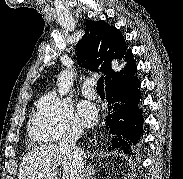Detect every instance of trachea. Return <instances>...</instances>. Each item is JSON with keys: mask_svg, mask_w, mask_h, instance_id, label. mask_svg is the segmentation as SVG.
I'll return each instance as SVG.
<instances>
[{"mask_svg": "<svg viewBox=\"0 0 183 179\" xmlns=\"http://www.w3.org/2000/svg\"><path fill=\"white\" fill-rule=\"evenodd\" d=\"M97 90L104 92V78L100 77L97 81Z\"/></svg>", "mask_w": 183, "mask_h": 179, "instance_id": "trachea-1", "label": "trachea"}]
</instances>
